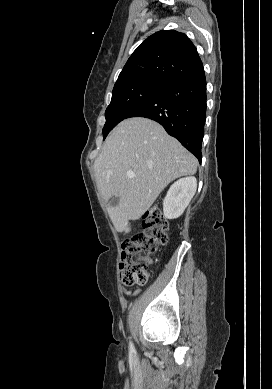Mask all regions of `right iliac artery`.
I'll use <instances>...</instances> for the list:
<instances>
[{"instance_id": "1", "label": "right iliac artery", "mask_w": 272, "mask_h": 389, "mask_svg": "<svg viewBox=\"0 0 272 389\" xmlns=\"http://www.w3.org/2000/svg\"><path fill=\"white\" fill-rule=\"evenodd\" d=\"M129 350H130L131 353L135 352V348H134V345H133L132 342H130Z\"/></svg>"}]
</instances>
